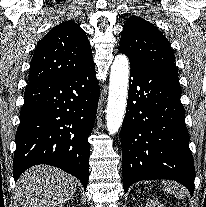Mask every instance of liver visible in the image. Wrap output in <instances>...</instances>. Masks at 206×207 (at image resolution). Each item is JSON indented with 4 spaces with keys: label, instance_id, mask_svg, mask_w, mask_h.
Wrapping results in <instances>:
<instances>
[{
    "label": "liver",
    "instance_id": "liver-1",
    "mask_svg": "<svg viewBox=\"0 0 206 207\" xmlns=\"http://www.w3.org/2000/svg\"><path fill=\"white\" fill-rule=\"evenodd\" d=\"M76 183L58 168L35 166L17 182V198L22 207H62L75 193Z\"/></svg>",
    "mask_w": 206,
    "mask_h": 207
}]
</instances>
